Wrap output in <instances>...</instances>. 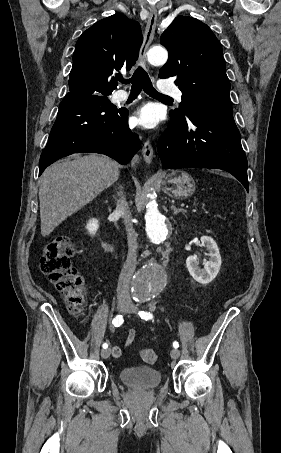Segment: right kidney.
<instances>
[{
  "label": "right kidney",
  "instance_id": "1",
  "mask_svg": "<svg viewBox=\"0 0 281 453\" xmlns=\"http://www.w3.org/2000/svg\"><path fill=\"white\" fill-rule=\"evenodd\" d=\"M99 227V222L97 220V218H91V220H89L88 224H87V231L88 233H90V235H95L97 229Z\"/></svg>",
  "mask_w": 281,
  "mask_h": 453
}]
</instances>
